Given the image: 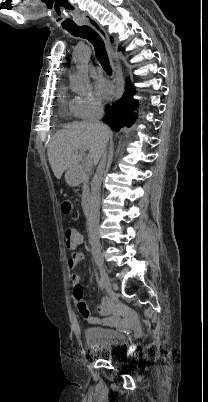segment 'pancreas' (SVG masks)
<instances>
[{
	"instance_id": "obj_1",
	"label": "pancreas",
	"mask_w": 208,
	"mask_h": 402,
	"mask_svg": "<svg viewBox=\"0 0 208 402\" xmlns=\"http://www.w3.org/2000/svg\"><path fill=\"white\" fill-rule=\"evenodd\" d=\"M80 176H83L82 180V190L83 194H89L90 192V176H92V172L90 170H80Z\"/></svg>"
}]
</instances>
